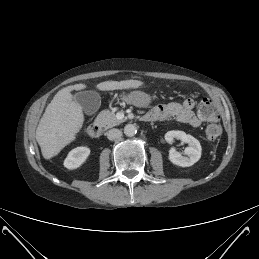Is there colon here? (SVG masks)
<instances>
[{"label":"colon","mask_w":259,"mask_h":259,"mask_svg":"<svg viewBox=\"0 0 259 259\" xmlns=\"http://www.w3.org/2000/svg\"><path fill=\"white\" fill-rule=\"evenodd\" d=\"M200 112L209 118V122L205 127V136L209 140L216 139L221 133V127L217 122V112L209 99H203Z\"/></svg>","instance_id":"1"}]
</instances>
